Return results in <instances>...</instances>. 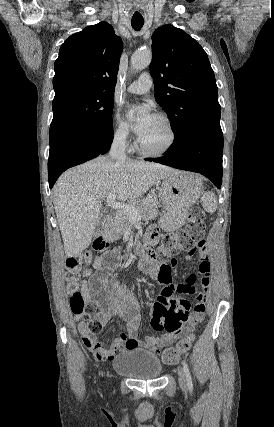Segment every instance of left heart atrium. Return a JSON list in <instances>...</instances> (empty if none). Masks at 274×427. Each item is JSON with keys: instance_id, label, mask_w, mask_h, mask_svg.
Wrapping results in <instances>:
<instances>
[{"instance_id": "1", "label": "left heart atrium", "mask_w": 274, "mask_h": 427, "mask_svg": "<svg viewBox=\"0 0 274 427\" xmlns=\"http://www.w3.org/2000/svg\"><path fill=\"white\" fill-rule=\"evenodd\" d=\"M134 115V121L130 123V128L139 137L143 136L154 119V115L146 106H138L129 110Z\"/></svg>"}]
</instances>
